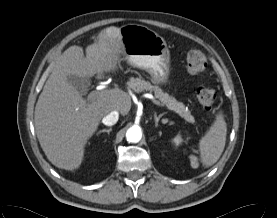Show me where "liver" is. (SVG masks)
I'll return each instance as SVG.
<instances>
[{
  "instance_id": "obj_1",
  "label": "liver",
  "mask_w": 277,
  "mask_h": 218,
  "mask_svg": "<svg viewBox=\"0 0 277 218\" xmlns=\"http://www.w3.org/2000/svg\"><path fill=\"white\" fill-rule=\"evenodd\" d=\"M123 55L120 29L102 30L94 43L83 48L70 46L58 59L35 107V131L47 159L65 170L79 168L85 146L101 119L111 111L123 116L131 109L129 94L111 88L99 91L94 100H85L67 76L105 78L116 72Z\"/></svg>"
}]
</instances>
